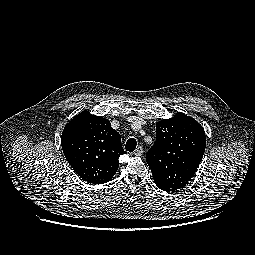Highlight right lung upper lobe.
Returning a JSON list of instances; mask_svg holds the SVG:
<instances>
[{
	"instance_id": "obj_1",
	"label": "right lung upper lobe",
	"mask_w": 255,
	"mask_h": 255,
	"mask_svg": "<svg viewBox=\"0 0 255 255\" xmlns=\"http://www.w3.org/2000/svg\"><path fill=\"white\" fill-rule=\"evenodd\" d=\"M63 153L82 180L103 184L112 180L119 167L120 134L110 122L83 111L66 124L61 138Z\"/></svg>"
}]
</instances>
